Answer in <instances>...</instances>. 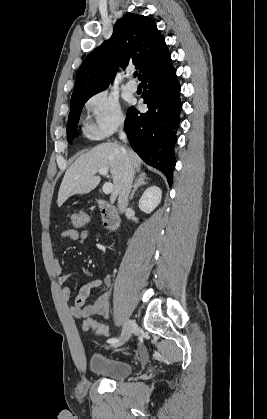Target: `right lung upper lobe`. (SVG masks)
Listing matches in <instances>:
<instances>
[{
  "label": "right lung upper lobe",
  "mask_w": 267,
  "mask_h": 419,
  "mask_svg": "<svg viewBox=\"0 0 267 419\" xmlns=\"http://www.w3.org/2000/svg\"><path fill=\"white\" fill-rule=\"evenodd\" d=\"M170 61L165 39L155 22L147 16L126 14L115 23L111 38L90 53L79 67L71 100L106 89L119 65L123 69L135 65L141 80Z\"/></svg>",
  "instance_id": "obj_1"
}]
</instances>
